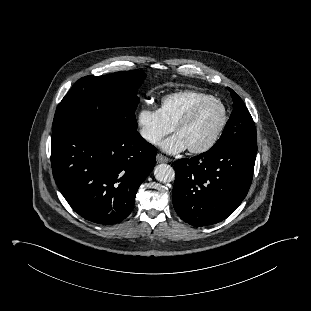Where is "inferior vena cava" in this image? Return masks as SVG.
<instances>
[{
  "instance_id": "1",
  "label": "inferior vena cava",
  "mask_w": 311,
  "mask_h": 311,
  "mask_svg": "<svg viewBox=\"0 0 311 311\" xmlns=\"http://www.w3.org/2000/svg\"><path fill=\"white\" fill-rule=\"evenodd\" d=\"M140 133L144 139H146L152 143H155L158 140L156 135L152 134L151 132H149L146 129H142Z\"/></svg>"
}]
</instances>
